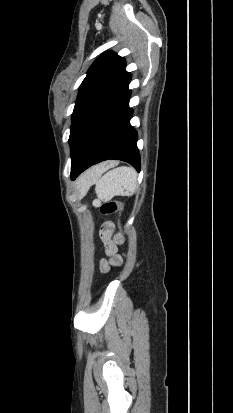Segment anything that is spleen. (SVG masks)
<instances>
[{"mask_svg": "<svg viewBox=\"0 0 233 413\" xmlns=\"http://www.w3.org/2000/svg\"><path fill=\"white\" fill-rule=\"evenodd\" d=\"M101 170L93 175L95 191L101 201H109L114 196H132L137 188V173L132 167L121 166L101 176Z\"/></svg>", "mask_w": 233, "mask_h": 413, "instance_id": "3e777b00", "label": "spleen"}]
</instances>
